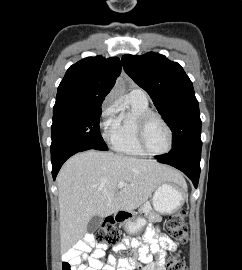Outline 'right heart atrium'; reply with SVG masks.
Listing matches in <instances>:
<instances>
[{
    "instance_id": "obj_1",
    "label": "right heart atrium",
    "mask_w": 242,
    "mask_h": 270,
    "mask_svg": "<svg viewBox=\"0 0 242 270\" xmlns=\"http://www.w3.org/2000/svg\"><path fill=\"white\" fill-rule=\"evenodd\" d=\"M118 110V102L113 97L108 98V100L103 105L100 127L104 132V137L107 139L109 134L111 133L115 121H116V113Z\"/></svg>"
}]
</instances>
